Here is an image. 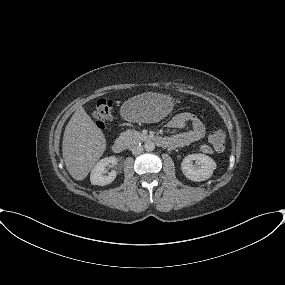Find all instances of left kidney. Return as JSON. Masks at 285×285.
Returning a JSON list of instances; mask_svg holds the SVG:
<instances>
[{"instance_id": "1", "label": "left kidney", "mask_w": 285, "mask_h": 285, "mask_svg": "<svg viewBox=\"0 0 285 285\" xmlns=\"http://www.w3.org/2000/svg\"><path fill=\"white\" fill-rule=\"evenodd\" d=\"M193 161H196L198 164L197 168L193 166ZM216 167V162L204 154L187 155L181 163V170L184 176L191 181L198 182L209 179Z\"/></svg>"}]
</instances>
